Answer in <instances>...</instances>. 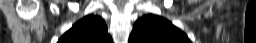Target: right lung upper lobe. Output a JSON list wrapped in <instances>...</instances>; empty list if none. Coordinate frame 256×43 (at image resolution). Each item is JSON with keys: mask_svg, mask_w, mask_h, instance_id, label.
<instances>
[{"mask_svg": "<svg viewBox=\"0 0 256 43\" xmlns=\"http://www.w3.org/2000/svg\"><path fill=\"white\" fill-rule=\"evenodd\" d=\"M58 43H112L101 17L88 15L72 26Z\"/></svg>", "mask_w": 256, "mask_h": 43, "instance_id": "cb5924a9", "label": "right lung upper lobe"}]
</instances>
